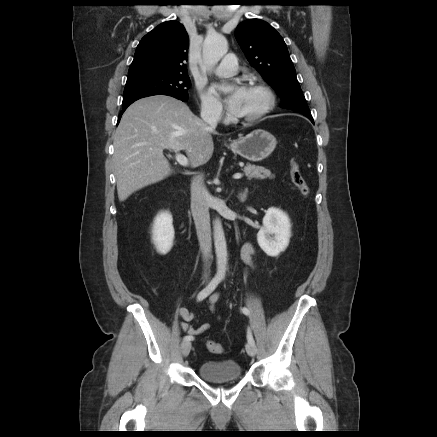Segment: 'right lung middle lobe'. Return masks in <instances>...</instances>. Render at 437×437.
Instances as JSON below:
<instances>
[{
  "label": "right lung middle lobe",
  "instance_id": "1",
  "mask_svg": "<svg viewBox=\"0 0 437 437\" xmlns=\"http://www.w3.org/2000/svg\"><path fill=\"white\" fill-rule=\"evenodd\" d=\"M190 86L191 82L187 74L160 71L128 72L123 105L153 95H169L187 101Z\"/></svg>",
  "mask_w": 437,
  "mask_h": 437
}]
</instances>
